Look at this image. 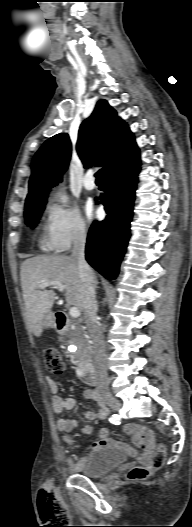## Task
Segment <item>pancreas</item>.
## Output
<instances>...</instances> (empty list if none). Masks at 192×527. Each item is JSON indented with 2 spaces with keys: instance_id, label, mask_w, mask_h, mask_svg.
<instances>
[{
  "instance_id": "1",
  "label": "pancreas",
  "mask_w": 192,
  "mask_h": 527,
  "mask_svg": "<svg viewBox=\"0 0 192 527\" xmlns=\"http://www.w3.org/2000/svg\"><path fill=\"white\" fill-rule=\"evenodd\" d=\"M70 343L76 344L81 347L87 340L85 338L83 330L79 326H75L69 334Z\"/></svg>"
}]
</instances>
